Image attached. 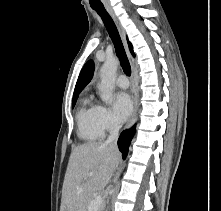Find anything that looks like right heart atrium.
Instances as JSON below:
<instances>
[{
    "instance_id": "right-heart-atrium-1",
    "label": "right heart atrium",
    "mask_w": 221,
    "mask_h": 211,
    "mask_svg": "<svg viewBox=\"0 0 221 211\" xmlns=\"http://www.w3.org/2000/svg\"><path fill=\"white\" fill-rule=\"evenodd\" d=\"M96 124L102 135L115 131L119 126L111 109L103 105L96 106Z\"/></svg>"
}]
</instances>
